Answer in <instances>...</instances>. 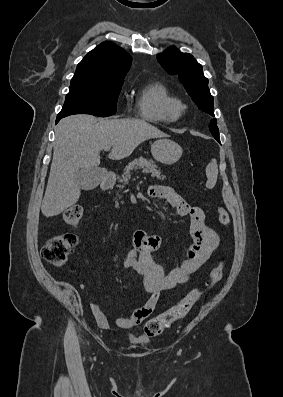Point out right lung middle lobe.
<instances>
[{
	"label": "right lung middle lobe",
	"mask_w": 283,
	"mask_h": 397,
	"mask_svg": "<svg viewBox=\"0 0 283 397\" xmlns=\"http://www.w3.org/2000/svg\"><path fill=\"white\" fill-rule=\"evenodd\" d=\"M123 82L124 79L100 80L74 75L70 91L57 117L63 118L72 114L107 117L115 114Z\"/></svg>",
	"instance_id": "1"
}]
</instances>
